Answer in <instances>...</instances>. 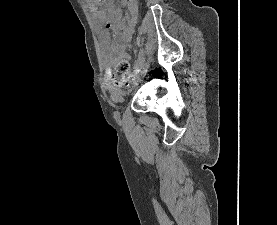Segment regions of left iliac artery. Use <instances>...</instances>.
Instances as JSON below:
<instances>
[{"mask_svg": "<svg viewBox=\"0 0 277 225\" xmlns=\"http://www.w3.org/2000/svg\"><path fill=\"white\" fill-rule=\"evenodd\" d=\"M144 61H145V53H144L143 49H140L138 60H137V63H136V69H135L136 74L141 71Z\"/></svg>", "mask_w": 277, "mask_h": 225, "instance_id": "left-iliac-artery-1", "label": "left iliac artery"}]
</instances>
